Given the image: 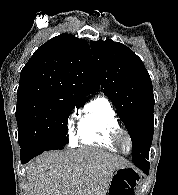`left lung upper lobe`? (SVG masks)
<instances>
[{"mask_svg": "<svg viewBox=\"0 0 178 195\" xmlns=\"http://www.w3.org/2000/svg\"><path fill=\"white\" fill-rule=\"evenodd\" d=\"M103 92L117 108L132 140V161L148 163L154 133V95L150 76L141 59L127 46L90 41Z\"/></svg>", "mask_w": 178, "mask_h": 195, "instance_id": "obj_1", "label": "left lung upper lobe"}]
</instances>
